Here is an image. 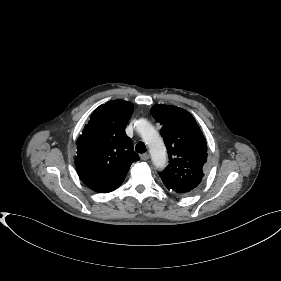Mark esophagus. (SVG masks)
Here are the masks:
<instances>
[{"instance_id":"1","label":"esophagus","mask_w":281,"mask_h":281,"mask_svg":"<svg viewBox=\"0 0 281 281\" xmlns=\"http://www.w3.org/2000/svg\"><path fill=\"white\" fill-rule=\"evenodd\" d=\"M140 158H141V160L146 161L149 159V154H147V153L141 154Z\"/></svg>"}]
</instances>
